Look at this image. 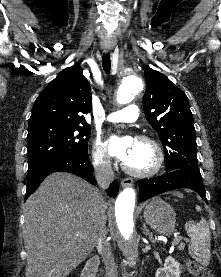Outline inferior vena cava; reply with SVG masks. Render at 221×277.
<instances>
[{
	"label": "inferior vena cava",
	"mask_w": 221,
	"mask_h": 277,
	"mask_svg": "<svg viewBox=\"0 0 221 277\" xmlns=\"http://www.w3.org/2000/svg\"><path fill=\"white\" fill-rule=\"evenodd\" d=\"M95 177L98 185L104 189L114 180V172L110 161L104 160L94 166ZM101 201L97 206V248L101 251L103 261L106 266V277H118L117 267L111 252V245L107 240L105 202L102 197V190H99Z\"/></svg>",
	"instance_id": "1"
}]
</instances>
